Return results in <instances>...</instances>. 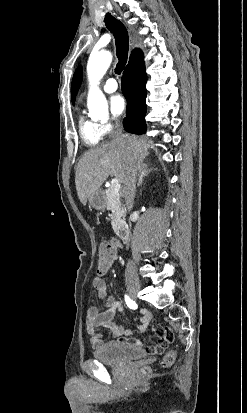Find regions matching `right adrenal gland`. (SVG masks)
Returning <instances> with one entry per match:
<instances>
[{"mask_svg": "<svg viewBox=\"0 0 247 413\" xmlns=\"http://www.w3.org/2000/svg\"><path fill=\"white\" fill-rule=\"evenodd\" d=\"M141 168L138 172V182L137 186H141L143 182V176H147L149 174L150 170H156V168H148L147 162H144V160H140Z\"/></svg>", "mask_w": 247, "mask_h": 413, "instance_id": "2a0ac1e0", "label": "right adrenal gland"}]
</instances>
